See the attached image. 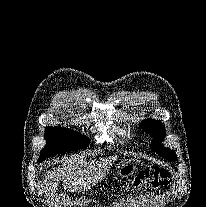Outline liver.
Masks as SVG:
<instances>
[{"mask_svg": "<svg viewBox=\"0 0 206 207\" xmlns=\"http://www.w3.org/2000/svg\"><path fill=\"white\" fill-rule=\"evenodd\" d=\"M107 161L102 166L94 161L83 158L64 159L62 164L46 173L43 183L45 189L52 194L57 189L58 182L71 191H80L94 185L106 173Z\"/></svg>", "mask_w": 206, "mask_h": 207, "instance_id": "liver-1", "label": "liver"}]
</instances>
